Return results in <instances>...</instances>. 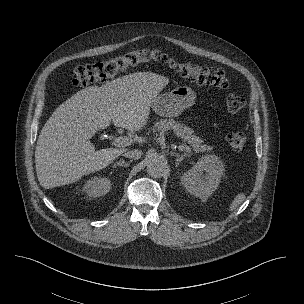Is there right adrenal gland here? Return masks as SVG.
Here are the masks:
<instances>
[{
  "label": "right adrenal gland",
  "mask_w": 304,
  "mask_h": 304,
  "mask_svg": "<svg viewBox=\"0 0 304 304\" xmlns=\"http://www.w3.org/2000/svg\"><path fill=\"white\" fill-rule=\"evenodd\" d=\"M132 161H129V162H125L124 160H119V162L115 163V167L116 166H123V167H128L129 164L131 163Z\"/></svg>",
  "instance_id": "2a0ac1e0"
}]
</instances>
